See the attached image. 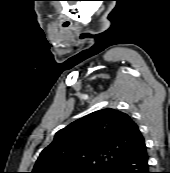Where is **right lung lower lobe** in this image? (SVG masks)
Returning a JSON list of instances; mask_svg holds the SVG:
<instances>
[{"mask_svg":"<svg viewBox=\"0 0 170 173\" xmlns=\"http://www.w3.org/2000/svg\"><path fill=\"white\" fill-rule=\"evenodd\" d=\"M104 173H150L146 146L112 163Z\"/></svg>","mask_w":170,"mask_h":173,"instance_id":"98d812e1","label":"right lung lower lobe"}]
</instances>
